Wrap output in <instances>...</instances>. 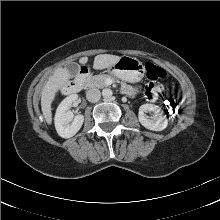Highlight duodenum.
<instances>
[{"instance_id":"1","label":"duodenum","mask_w":220,"mask_h":220,"mask_svg":"<svg viewBox=\"0 0 220 220\" xmlns=\"http://www.w3.org/2000/svg\"><path fill=\"white\" fill-rule=\"evenodd\" d=\"M90 72L91 70L88 66H82L76 77L65 85L63 88L64 92L66 94H72L80 91Z\"/></svg>"}]
</instances>
